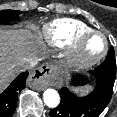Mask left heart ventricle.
I'll return each mask as SVG.
<instances>
[{"instance_id":"1","label":"left heart ventricle","mask_w":117,"mask_h":117,"mask_svg":"<svg viewBox=\"0 0 117 117\" xmlns=\"http://www.w3.org/2000/svg\"><path fill=\"white\" fill-rule=\"evenodd\" d=\"M103 48V40L99 36L89 38L83 46V54L86 57L97 55Z\"/></svg>"}]
</instances>
